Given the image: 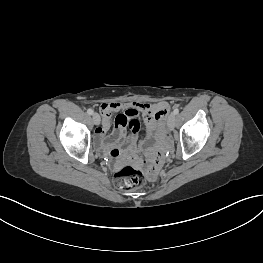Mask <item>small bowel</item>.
<instances>
[{"mask_svg": "<svg viewBox=\"0 0 263 263\" xmlns=\"http://www.w3.org/2000/svg\"><path fill=\"white\" fill-rule=\"evenodd\" d=\"M102 125L96 133L99 150L116 162H138V150L142 148L147 156L142 157L141 166L147 169L150 177L159 175L164 147L158 144L165 135L168 119L175 112V107L167 102L158 103H103L100 106ZM118 113L112 128V114ZM144 124V136L140 140ZM129 128V133L126 129ZM150 144V147H148Z\"/></svg>", "mask_w": 263, "mask_h": 263, "instance_id": "small-bowel-1", "label": "small bowel"}]
</instances>
